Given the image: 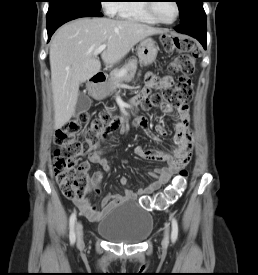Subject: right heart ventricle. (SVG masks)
Masks as SVG:
<instances>
[{
	"label": "right heart ventricle",
	"mask_w": 258,
	"mask_h": 275,
	"mask_svg": "<svg viewBox=\"0 0 258 275\" xmlns=\"http://www.w3.org/2000/svg\"><path fill=\"white\" fill-rule=\"evenodd\" d=\"M146 0H124L115 4V11L122 18L138 22L157 24L158 22L149 14L146 8Z\"/></svg>",
	"instance_id": "1"
}]
</instances>
